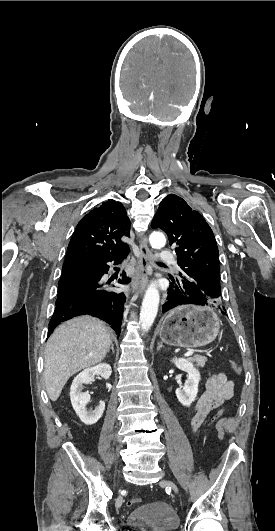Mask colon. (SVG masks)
<instances>
[{"label":"colon","mask_w":275,"mask_h":531,"mask_svg":"<svg viewBox=\"0 0 275 531\" xmlns=\"http://www.w3.org/2000/svg\"><path fill=\"white\" fill-rule=\"evenodd\" d=\"M231 367L236 373L242 372L241 365L236 361L231 362ZM222 418H223V412L221 410H218L214 412L212 417L209 419V424L211 425V427H214L218 424L219 421L222 420ZM139 502H140V498H132L127 502V504L128 506H133V505L138 504Z\"/></svg>","instance_id":"1"}]
</instances>
